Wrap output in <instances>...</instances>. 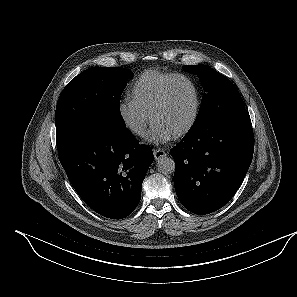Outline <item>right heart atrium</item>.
Returning <instances> with one entry per match:
<instances>
[{"label": "right heart atrium", "instance_id": "right-heart-atrium-1", "mask_svg": "<svg viewBox=\"0 0 297 297\" xmlns=\"http://www.w3.org/2000/svg\"><path fill=\"white\" fill-rule=\"evenodd\" d=\"M117 111L121 122L131 134L138 137L145 134L149 116L131 97L121 99Z\"/></svg>", "mask_w": 297, "mask_h": 297}]
</instances>
